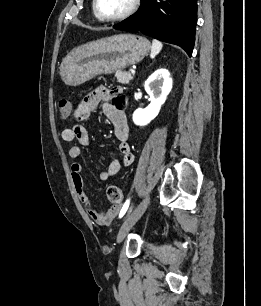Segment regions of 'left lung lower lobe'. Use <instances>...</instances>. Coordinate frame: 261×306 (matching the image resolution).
I'll return each mask as SVG.
<instances>
[{
    "label": "left lung lower lobe",
    "mask_w": 261,
    "mask_h": 306,
    "mask_svg": "<svg viewBox=\"0 0 261 306\" xmlns=\"http://www.w3.org/2000/svg\"><path fill=\"white\" fill-rule=\"evenodd\" d=\"M197 20V0H141L137 13L113 26L141 31L158 40L176 44L191 56Z\"/></svg>",
    "instance_id": "1"
}]
</instances>
